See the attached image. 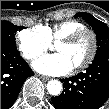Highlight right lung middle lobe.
Here are the masks:
<instances>
[{
    "mask_svg": "<svg viewBox=\"0 0 109 109\" xmlns=\"http://www.w3.org/2000/svg\"><path fill=\"white\" fill-rule=\"evenodd\" d=\"M22 28L8 21H1V48L17 50L14 37L17 30H21Z\"/></svg>",
    "mask_w": 109,
    "mask_h": 109,
    "instance_id": "1",
    "label": "right lung middle lobe"
}]
</instances>
